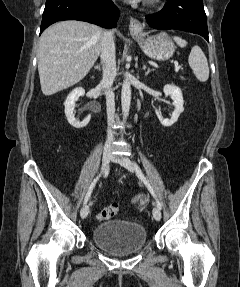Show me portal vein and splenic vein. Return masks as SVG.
I'll list each match as a JSON object with an SVG mask.
<instances>
[{
    "instance_id": "1",
    "label": "portal vein and splenic vein",
    "mask_w": 240,
    "mask_h": 287,
    "mask_svg": "<svg viewBox=\"0 0 240 287\" xmlns=\"http://www.w3.org/2000/svg\"><path fill=\"white\" fill-rule=\"evenodd\" d=\"M176 70H179V69H183L182 65H178L176 64V67H175Z\"/></svg>"
}]
</instances>
